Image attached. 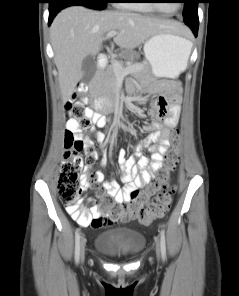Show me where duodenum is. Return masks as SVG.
I'll return each mask as SVG.
<instances>
[{"label":"duodenum","instance_id":"410a0bca","mask_svg":"<svg viewBox=\"0 0 239 296\" xmlns=\"http://www.w3.org/2000/svg\"><path fill=\"white\" fill-rule=\"evenodd\" d=\"M108 58L105 55H99L97 58V69L104 70L107 66ZM85 91V86H79L77 89L76 94H80ZM105 124V118L101 117L100 120L97 122L98 126H103Z\"/></svg>","mask_w":239,"mask_h":296}]
</instances>
